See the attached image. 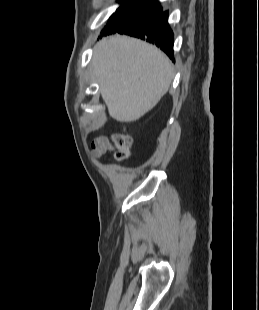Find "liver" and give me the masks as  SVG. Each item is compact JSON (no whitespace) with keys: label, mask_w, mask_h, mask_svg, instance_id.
Listing matches in <instances>:
<instances>
[{"label":"liver","mask_w":259,"mask_h":310,"mask_svg":"<svg viewBox=\"0 0 259 310\" xmlns=\"http://www.w3.org/2000/svg\"><path fill=\"white\" fill-rule=\"evenodd\" d=\"M93 74L109 115L119 122L141 118L168 91L173 68L154 45L127 36H110L95 47Z\"/></svg>","instance_id":"6515ba94"}]
</instances>
